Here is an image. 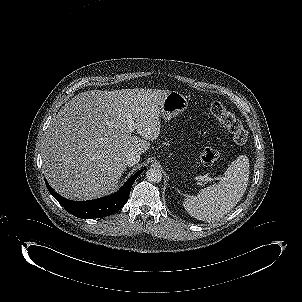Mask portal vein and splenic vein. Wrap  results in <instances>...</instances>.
Wrapping results in <instances>:
<instances>
[{
  "label": "portal vein and splenic vein",
  "instance_id": "portal-vein-and-splenic-vein-1",
  "mask_svg": "<svg viewBox=\"0 0 302 302\" xmlns=\"http://www.w3.org/2000/svg\"><path fill=\"white\" fill-rule=\"evenodd\" d=\"M128 122H129V131L133 132L134 128H135V123H134L131 115H129V117H128ZM195 179L198 180V181H202V182H211V181H213V179L211 177H209L208 175L196 176Z\"/></svg>",
  "mask_w": 302,
  "mask_h": 302
}]
</instances>
